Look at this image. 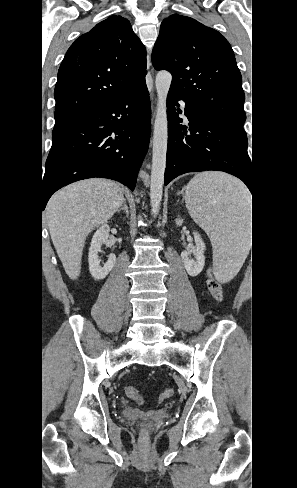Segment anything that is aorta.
<instances>
[{
	"label": "aorta",
	"instance_id": "obj_1",
	"mask_svg": "<svg viewBox=\"0 0 297 488\" xmlns=\"http://www.w3.org/2000/svg\"><path fill=\"white\" fill-rule=\"evenodd\" d=\"M171 81L172 75L168 71H159L156 75L157 109L152 141L153 153L150 185L151 213L154 216L159 213L162 201L168 143L167 95Z\"/></svg>",
	"mask_w": 297,
	"mask_h": 488
}]
</instances>
